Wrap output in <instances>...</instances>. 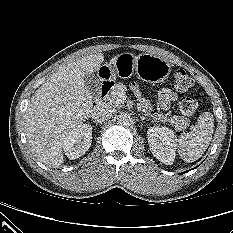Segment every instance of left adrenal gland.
<instances>
[{
    "label": "left adrenal gland",
    "instance_id": "left-adrenal-gland-1",
    "mask_svg": "<svg viewBox=\"0 0 233 233\" xmlns=\"http://www.w3.org/2000/svg\"><path fill=\"white\" fill-rule=\"evenodd\" d=\"M140 118H141L142 121L148 120L145 116H141Z\"/></svg>",
    "mask_w": 233,
    "mask_h": 233
}]
</instances>
